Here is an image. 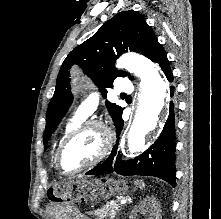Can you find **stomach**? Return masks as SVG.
I'll list each match as a JSON object with an SVG mask.
<instances>
[{
    "label": "stomach",
    "instance_id": "obj_1",
    "mask_svg": "<svg viewBox=\"0 0 221 219\" xmlns=\"http://www.w3.org/2000/svg\"><path fill=\"white\" fill-rule=\"evenodd\" d=\"M59 190L63 199H71V204H92L96 199H119L127 189L126 182L113 178H72ZM73 189V190H72Z\"/></svg>",
    "mask_w": 221,
    "mask_h": 219
}]
</instances>
